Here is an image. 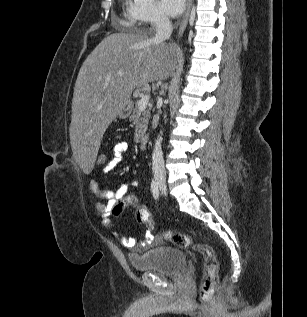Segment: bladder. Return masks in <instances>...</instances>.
<instances>
[{"instance_id":"1","label":"bladder","mask_w":307,"mask_h":317,"mask_svg":"<svg viewBox=\"0 0 307 317\" xmlns=\"http://www.w3.org/2000/svg\"><path fill=\"white\" fill-rule=\"evenodd\" d=\"M128 259L135 271H153L168 276L179 275L186 267L184 254L167 246L152 248L141 256L130 255Z\"/></svg>"}]
</instances>
